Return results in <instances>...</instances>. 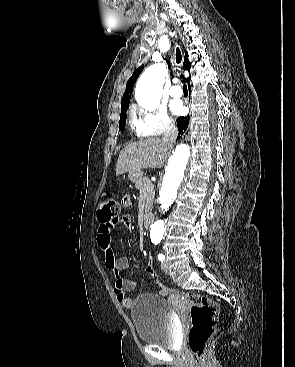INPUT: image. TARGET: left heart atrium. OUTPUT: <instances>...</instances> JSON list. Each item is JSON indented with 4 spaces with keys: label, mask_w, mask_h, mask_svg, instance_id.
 <instances>
[{
    "label": "left heart atrium",
    "mask_w": 295,
    "mask_h": 367,
    "mask_svg": "<svg viewBox=\"0 0 295 367\" xmlns=\"http://www.w3.org/2000/svg\"><path fill=\"white\" fill-rule=\"evenodd\" d=\"M171 109L175 114H181L184 110L180 102H174L171 106Z\"/></svg>",
    "instance_id": "1"
}]
</instances>
